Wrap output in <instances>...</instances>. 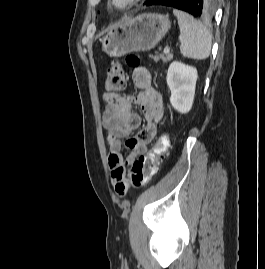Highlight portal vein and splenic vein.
Returning a JSON list of instances; mask_svg holds the SVG:
<instances>
[{
  "instance_id": "18ae733b",
  "label": "portal vein and splenic vein",
  "mask_w": 265,
  "mask_h": 269,
  "mask_svg": "<svg viewBox=\"0 0 265 269\" xmlns=\"http://www.w3.org/2000/svg\"><path fill=\"white\" fill-rule=\"evenodd\" d=\"M169 51H170L169 48L164 49V52H165V53H168Z\"/></svg>"
}]
</instances>
